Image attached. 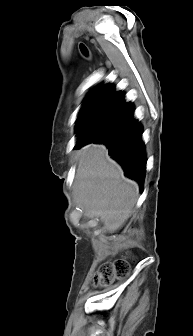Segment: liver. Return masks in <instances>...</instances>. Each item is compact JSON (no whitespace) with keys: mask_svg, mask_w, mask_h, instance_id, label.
<instances>
[{"mask_svg":"<svg viewBox=\"0 0 193 336\" xmlns=\"http://www.w3.org/2000/svg\"><path fill=\"white\" fill-rule=\"evenodd\" d=\"M76 200L84 215L99 218L106 232L114 233L135 211L138 184L124 177L119 164L112 160L102 144H89L75 155Z\"/></svg>","mask_w":193,"mask_h":336,"instance_id":"1","label":"liver"}]
</instances>
